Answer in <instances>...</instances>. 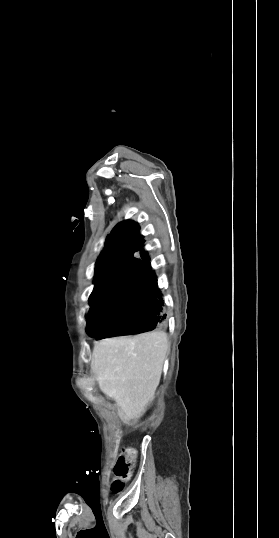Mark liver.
Segmentation results:
<instances>
[{
    "mask_svg": "<svg viewBox=\"0 0 279 538\" xmlns=\"http://www.w3.org/2000/svg\"><path fill=\"white\" fill-rule=\"evenodd\" d=\"M168 348L166 332L158 330L95 342L99 388L116 402L125 420H138L154 400Z\"/></svg>",
    "mask_w": 279,
    "mask_h": 538,
    "instance_id": "obj_1",
    "label": "liver"
}]
</instances>
